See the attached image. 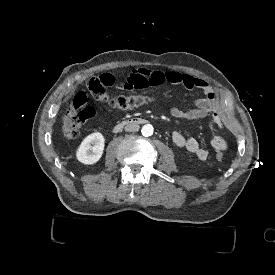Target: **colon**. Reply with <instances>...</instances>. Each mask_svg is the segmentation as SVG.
Here are the masks:
<instances>
[{
	"label": "colon",
	"instance_id": "5ec220e1",
	"mask_svg": "<svg viewBox=\"0 0 275 275\" xmlns=\"http://www.w3.org/2000/svg\"><path fill=\"white\" fill-rule=\"evenodd\" d=\"M85 88H89L93 97L100 103L107 104L111 108L128 109L146 105L154 100L153 96H123L111 97L104 91L106 85L101 82L100 77H85ZM96 109L89 103L87 92H78L68 108L62 122V132L67 138L79 137L82 133L84 124L95 116ZM214 159L218 163H224L226 158L221 151L216 150L213 153Z\"/></svg>",
	"mask_w": 275,
	"mask_h": 275
}]
</instances>
